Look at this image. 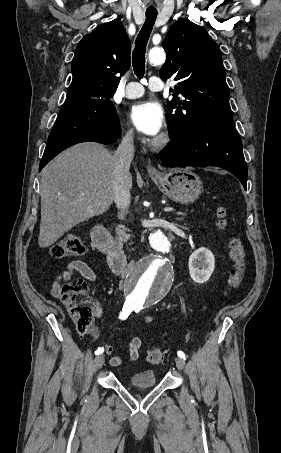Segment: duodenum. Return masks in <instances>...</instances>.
<instances>
[{"mask_svg":"<svg viewBox=\"0 0 281 453\" xmlns=\"http://www.w3.org/2000/svg\"><path fill=\"white\" fill-rule=\"evenodd\" d=\"M92 240L98 250L107 256L109 267L115 274L120 275L127 270L125 253L104 225L95 226L92 232Z\"/></svg>","mask_w":281,"mask_h":453,"instance_id":"1","label":"duodenum"}]
</instances>
